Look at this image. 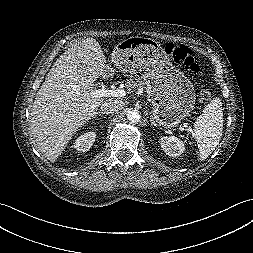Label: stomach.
I'll return each mask as SVG.
<instances>
[{"instance_id": "1", "label": "stomach", "mask_w": 253, "mask_h": 253, "mask_svg": "<svg viewBox=\"0 0 253 253\" xmlns=\"http://www.w3.org/2000/svg\"><path fill=\"white\" fill-rule=\"evenodd\" d=\"M112 59L120 69L145 81L159 126L175 127L193 109V84L172 65L159 42L138 36L128 38L118 43Z\"/></svg>"}]
</instances>
